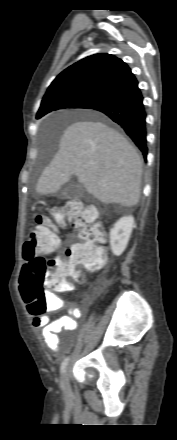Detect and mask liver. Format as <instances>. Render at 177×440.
Returning a JSON list of instances; mask_svg holds the SVG:
<instances>
[{
  "mask_svg": "<svg viewBox=\"0 0 177 440\" xmlns=\"http://www.w3.org/2000/svg\"><path fill=\"white\" fill-rule=\"evenodd\" d=\"M142 166L136 148L118 131L99 121H78L63 132L36 191L56 193L76 175L102 203L132 207L140 199Z\"/></svg>",
  "mask_w": 177,
  "mask_h": 440,
  "instance_id": "6515ba94",
  "label": "liver"
}]
</instances>
